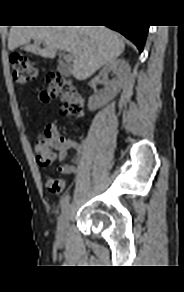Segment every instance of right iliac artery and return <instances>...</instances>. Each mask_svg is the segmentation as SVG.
<instances>
[{
  "mask_svg": "<svg viewBox=\"0 0 184 292\" xmlns=\"http://www.w3.org/2000/svg\"><path fill=\"white\" fill-rule=\"evenodd\" d=\"M70 196L66 194L61 200L62 211H64L69 204Z\"/></svg>",
  "mask_w": 184,
  "mask_h": 292,
  "instance_id": "1",
  "label": "right iliac artery"
}]
</instances>
